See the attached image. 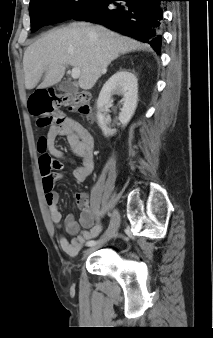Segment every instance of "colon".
I'll return each instance as SVG.
<instances>
[{
    "label": "colon",
    "mask_w": 213,
    "mask_h": 338,
    "mask_svg": "<svg viewBox=\"0 0 213 338\" xmlns=\"http://www.w3.org/2000/svg\"><path fill=\"white\" fill-rule=\"evenodd\" d=\"M66 107L81 115H88L90 97L81 92L54 93L48 90L34 91L28 100V109L41 127L61 125L65 120L61 110Z\"/></svg>",
    "instance_id": "colon-1"
}]
</instances>
